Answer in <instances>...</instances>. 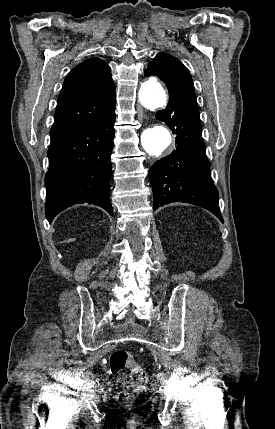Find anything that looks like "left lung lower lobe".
Segmentation results:
<instances>
[{
	"mask_svg": "<svg viewBox=\"0 0 275 429\" xmlns=\"http://www.w3.org/2000/svg\"><path fill=\"white\" fill-rule=\"evenodd\" d=\"M156 118L176 135L177 146L149 170L156 210L171 202H186L211 211L221 222L218 191L210 174V162L202 140L196 97L188 92L169 95V103Z\"/></svg>",
	"mask_w": 275,
	"mask_h": 429,
	"instance_id": "left-lung-lower-lobe-1",
	"label": "left lung lower lobe"
}]
</instances>
